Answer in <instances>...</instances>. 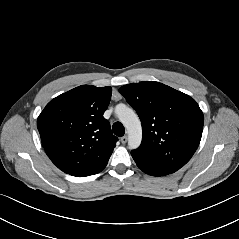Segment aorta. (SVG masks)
<instances>
[{"mask_svg":"<svg viewBox=\"0 0 239 239\" xmlns=\"http://www.w3.org/2000/svg\"><path fill=\"white\" fill-rule=\"evenodd\" d=\"M115 113L128 132L129 148L136 149L139 147L142 139L141 122L138 116L131 108L124 104H118L115 108Z\"/></svg>","mask_w":239,"mask_h":239,"instance_id":"1","label":"aorta"}]
</instances>
